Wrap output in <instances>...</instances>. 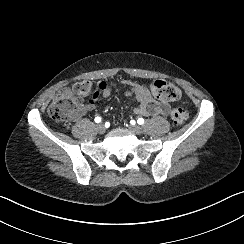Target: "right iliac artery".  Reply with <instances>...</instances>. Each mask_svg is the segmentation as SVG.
<instances>
[{
	"mask_svg": "<svg viewBox=\"0 0 244 244\" xmlns=\"http://www.w3.org/2000/svg\"><path fill=\"white\" fill-rule=\"evenodd\" d=\"M95 122H96V123L101 122V117H96V118H95ZM105 127H106V126H105ZM108 127H109V125H108Z\"/></svg>",
	"mask_w": 244,
	"mask_h": 244,
	"instance_id": "1",
	"label": "right iliac artery"
}]
</instances>
